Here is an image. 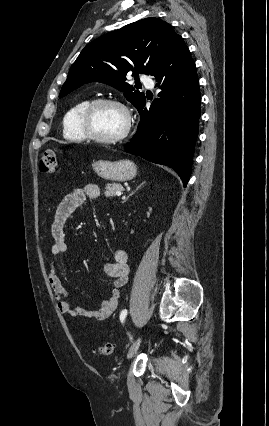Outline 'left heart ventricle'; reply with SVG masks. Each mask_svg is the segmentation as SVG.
<instances>
[{"label": "left heart ventricle", "mask_w": 269, "mask_h": 426, "mask_svg": "<svg viewBox=\"0 0 269 426\" xmlns=\"http://www.w3.org/2000/svg\"><path fill=\"white\" fill-rule=\"evenodd\" d=\"M124 125V114L115 106H99L90 118L92 131L101 137L109 138L118 135L123 130Z\"/></svg>", "instance_id": "obj_1"}]
</instances>
